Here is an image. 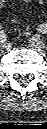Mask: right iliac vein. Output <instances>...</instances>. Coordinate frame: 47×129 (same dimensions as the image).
<instances>
[{
  "label": "right iliac vein",
  "instance_id": "right-iliac-vein-1",
  "mask_svg": "<svg viewBox=\"0 0 47 129\" xmlns=\"http://www.w3.org/2000/svg\"><path fill=\"white\" fill-rule=\"evenodd\" d=\"M0 48L3 52L9 51L11 49V43L9 41H5L1 43Z\"/></svg>",
  "mask_w": 47,
  "mask_h": 129
}]
</instances>
